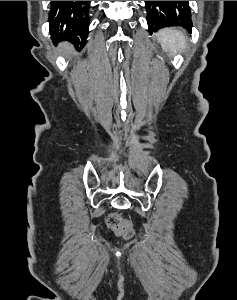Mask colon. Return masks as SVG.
Returning a JSON list of instances; mask_svg holds the SVG:
<instances>
[{"label": "colon", "mask_w": 237, "mask_h": 300, "mask_svg": "<svg viewBox=\"0 0 237 300\" xmlns=\"http://www.w3.org/2000/svg\"><path fill=\"white\" fill-rule=\"evenodd\" d=\"M108 226L117 234L129 238L133 234L132 224L129 220L123 219L119 214L112 213L107 220Z\"/></svg>", "instance_id": "1"}]
</instances>
